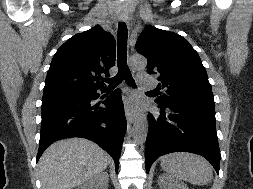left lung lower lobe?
Instances as JSON below:
<instances>
[{
  "label": "left lung lower lobe",
  "mask_w": 253,
  "mask_h": 189,
  "mask_svg": "<svg viewBox=\"0 0 253 189\" xmlns=\"http://www.w3.org/2000/svg\"><path fill=\"white\" fill-rule=\"evenodd\" d=\"M162 109L156 122L148 115L145 167L161 155L187 151L206 158L219 173L220 149L216 133L215 112L178 103H158Z\"/></svg>",
  "instance_id": "obj_1"
}]
</instances>
